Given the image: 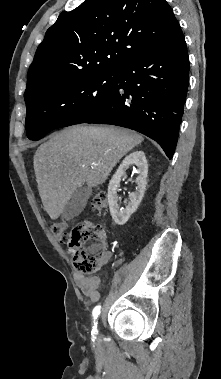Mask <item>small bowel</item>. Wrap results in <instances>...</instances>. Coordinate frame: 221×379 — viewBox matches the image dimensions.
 <instances>
[{"label":"small bowel","instance_id":"c3829d8e","mask_svg":"<svg viewBox=\"0 0 221 379\" xmlns=\"http://www.w3.org/2000/svg\"><path fill=\"white\" fill-rule=\"evenodd\" d=\"M111 258V252L105 251L101 261L100 267L105 266ZM75 282L80 287L82 293L91 301L96 302L100 298V288L102 285L101 279L97 276L85 275L82 273L75 274Z\"/></svg>","mask_w":221,"mask_h":379}]
</instances>
